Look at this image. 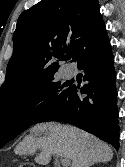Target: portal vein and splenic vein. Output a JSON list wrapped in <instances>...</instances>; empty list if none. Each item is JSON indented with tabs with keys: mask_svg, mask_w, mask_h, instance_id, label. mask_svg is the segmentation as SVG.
Returning a JSON list of instances; mask_svg holds the SVG:
<instances>
[{
	"mask_svg": "<svg viewBox=\"0 0 125 167\" xmlns=\"http://www.w3.org/2000/svg\"><path fill=\"white\" fill-rule=\"evenodd\" d=\"M62 166L68 167L70 165V160L68 158H60Z\"/></svg>",
	"mask_w": 125,
	"mask_h": 167,
	"instance_id": "obj_1",
	"label": "portal vein and splenic vein"
}]
</instances>
